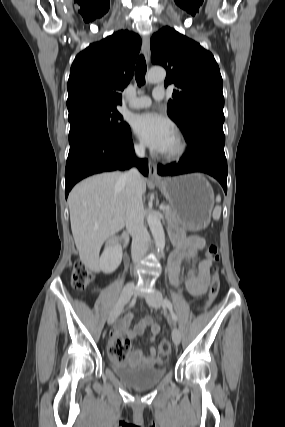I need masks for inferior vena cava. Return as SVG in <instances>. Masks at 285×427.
I'll return each instance as SVG.
<instances>
[{"label": "inferior vena cava", "mask_w": 285, "mask_h": 427, "mask_svg": "<svg viewBox=\"0 0 285 427\" xmlns=\"http://www.w3.org/2000/svg\"><path fill=\"white\" fill-rule=\"evenodd\" d=\"M135 152L139 158H143L145 156L144 146H136ZM122 177L126 182V229L132 236V260L134 264H138L146 255L145 245L150 240L143 223L141 175L136 168H131Z\"/></svg>", "instance_id": "1"}]
</instances>
